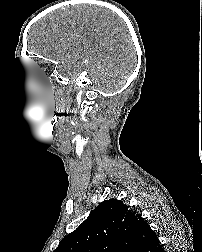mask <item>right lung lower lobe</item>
<instances>
[{
  "label": "right lung lower lobe",
  "mask_w": 202,
  "mask_h": 252,
  "mask_svg": "<svg viewBox=\"0 0 202 252\" xmlns=\"http://www.w3.org/2000/svg\"><path fill=\"white\" fill-rule=\"evenodd\" d=\"M157 252H165V251H164V248L161 246V247L157 250Z\"/></svg>",
  "instance_id": "1"
}]
</instances>
